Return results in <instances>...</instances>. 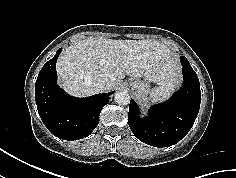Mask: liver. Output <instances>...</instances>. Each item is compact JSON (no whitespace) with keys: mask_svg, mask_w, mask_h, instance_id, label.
<instances>
[{"mask_svg":"<svg viewBox=\"0 0 236 178\" xmlns=\"http://www.w3.org/2000/svg\"><path fill=\"white\" fill-rule=\"evenodd\" d=\"M56 68L62 87L77 97L98 93L95 83L101 79L107 80L105 90H111L125 75L159 85L172 84L178 76L171 50L152 40L90 37L69 46Z\"/></svg>","mask_w":236,"mask_h":178,"instance_id":"obj_1","label":"liver"}]
</instances>
